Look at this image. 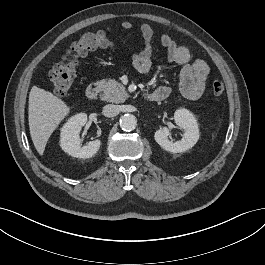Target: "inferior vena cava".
<instances>
[{
  "instance_id": "obj_1",
  "label": "inferior vena cava",
  "mask_w": 265,
  "mask_h": 265,
  "mask_svg": "<svg viewBox=\"0 0 265 265\" xmlns=\"http://www.w3.org/2000/svg\"><path fill=\"white\" fill-rule=\"evenodd\" d=\"M102 113L106 117H114L119 114V108L117 105L108 104L103 107Z\"/></svg>"
}]
</instances>
